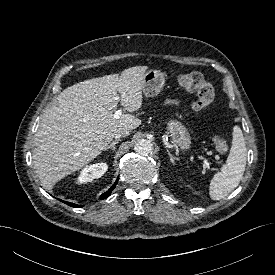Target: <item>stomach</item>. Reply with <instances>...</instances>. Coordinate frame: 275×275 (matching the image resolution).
<instances>
[{
	"label": "stomach",
	"mask_w": 275,
	"mask_h": 275,
	"mask_svg": "<svg viewBox=\"0 0 275 275\" xmlns=\"http://www.w3.org/2000/svg\"><path fill=\"white\" fill-rule=\"evenodd\" d=\"M165 84L164 74L159 70H148L143 77L142 91L146 97H154L161 92ZM167 134L177 152L191 148V137L187 128L178 120L170 119L166 126Z\"/></svg>",
	"instance_id": "obj_1"
}]
</instances>
